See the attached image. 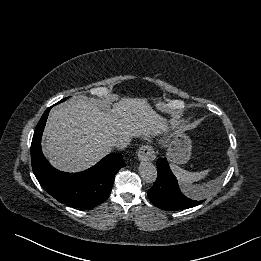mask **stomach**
<instances>
[{"instance_id":"stomach-1","label":"stomach","mask_w":261,"mask_h":261,"mask_svg":"<svg viewBox=\"0 0 261 261\" xmlns=\"http://www.w3.org/2000/svg\"><path fill=\"white\" fill-rule=\"evenodd\" d=\"M192 142L181 129L176 130L167 143V158L176 164H184L191 157Z\"/></svg>"}]
</instances>
